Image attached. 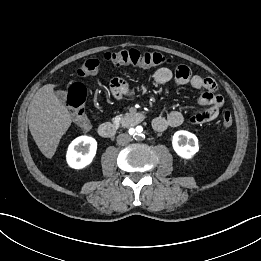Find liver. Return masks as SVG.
I'll return each instance as SVG.
<instances>
[{
	"mask_svg": "<svg viewBox=\"0 0 261 261\" xmlns=\"http://www.w3.org/2000/svg\"><path fill=\"white\" fill-rule=\"evenodd\" d=\"M54 87V84L41 87L27 111L30 133L47 158L53 157L61 137L72 122L67 107L55 95Z\"/></svg>",
	"mask_w": 261,
	"mask_h": 261,
	"instance_id": "liver-1",
	"label": "liver"
}]
</instances>
